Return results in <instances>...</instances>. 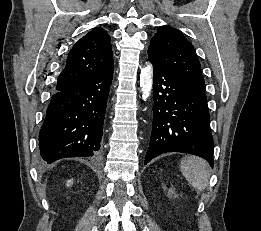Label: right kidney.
Returning <instances> with one entry per match:
<instances>
[{
    "label": "right kidney",
    "mask_w": 261,
    "mask_h": 231,
    "mask_svg": "<svg viewBox=\"0 0 261 231\" xmlns=\"http://www.w3.org/2000/svg\"><path fill=\"white\" fill-rule=\"evenodd\" d=\"M73 184V180H68L67 182H66V185L69 187V186H71Z\"/></svg>",
    "instance_id": "1"
}]
</instances>
